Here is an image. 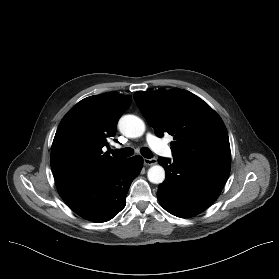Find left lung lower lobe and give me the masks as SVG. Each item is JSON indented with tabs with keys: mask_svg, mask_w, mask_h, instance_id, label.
Wrapping results in <instances>:
<instances>
[{
	"mask_svg": "<svg viewBox=\"0 0 279 279\" xmlns=\"http://www.w3.org/2000/svg\"><path fill=\"white\" fill-rule=\"evenodd\" d=\"M166 172L157 196L161 205L171 214L192 217L208 208L223 189L230 167L190 162L174 158L173 163L160 157Z\"/></svg>",
	"mask_w": 279,
	"mask_h": 279,
	"instance_id": "left-lung-lower-lobe-1",
	"label": "left lung lower lobe"
}]
</instances>
